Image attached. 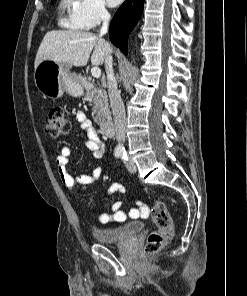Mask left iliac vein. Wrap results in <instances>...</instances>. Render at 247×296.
<instances>
[{
    "instance_id": "obj_1",
    "label": "left iliac vein",
    "mask_w": 247,
    "mask_h": 296,
    "mask_svg": "<svg viewBox=\"0 0 247 296\" xmlns=\"http://www.w3.org/2000/svg\"><path fill=\"white\" fill-rule=\"evenodd\" d=\"M127 169L130 173H135L137 171V167L136 165L134 164V162L132 161H129L128 164H127Z\"/></svg>"
}]
</instances>
